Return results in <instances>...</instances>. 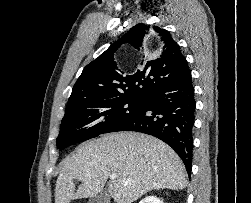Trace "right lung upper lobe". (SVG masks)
<instances>
[{
	"label": "right lung upper lobe",
	"mask_w": 251,
	"mask_h": 203,
	"mask_svg": "<svg viewBox=\"0 0 251 203\" xmlns=\"http://www.w3.org/2000/svg\"><path fill=\"white\" fill-rule=\"evenodd\" d=\"M152 30L163 43L162 51L153 60L142 62V66L134 74L128 75L118 69L114 61L115 51L123 43H129L135 49L141 50L144 36ZM188 68L179 45L168 31L140 23L83 69L67 106L90 100L115 98L144 100L151 91L177 79Z\"/></svg>",
	"instance_id": "1"
}]
</instances>
